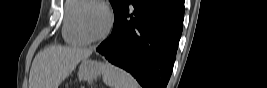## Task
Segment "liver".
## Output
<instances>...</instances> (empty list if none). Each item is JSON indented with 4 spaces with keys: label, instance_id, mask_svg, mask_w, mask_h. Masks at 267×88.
<instances>
[{
    "label": "liver",
    "instance_id": "obj_1",
    "mask_svg": "<svg viewBox=\"0 0 267 88\" xmlns=\"http://www.w3.org/2000/svg\"><path fill=\"white\" fill-rule=\"evenodd\" d=\"M92 54L78 47L49 46L39 52L30 70L29 88H58L76 65Z\"/></svg>",
    "mask_w": 267,
    "mask_h": 88
}]
</instances>
